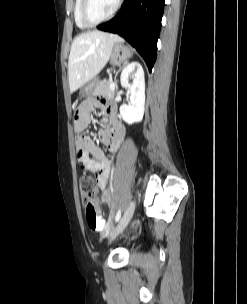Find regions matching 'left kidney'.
<instances>
[{"instance_id": "5707ae66", "label": "left kidney", "mask_w": 247, "mask_h": 304, "mask_svg": "<svg viewBox=\"0 0 247 304\" xmlns=\"http://www.w3.org/2000/svg\"><path fill=\"white\" fill-rule=\"evenodd\" d=\"M129 77H132V83H129ZM120 81L122 87L127 88L130 93L129 104L120 107L121 117L128 124L140 122L143 119L145 105V79L142 65L137 61L129 63L123 69Z\"/></svg>"}]
</instances>
